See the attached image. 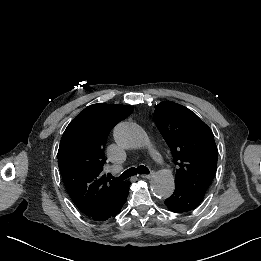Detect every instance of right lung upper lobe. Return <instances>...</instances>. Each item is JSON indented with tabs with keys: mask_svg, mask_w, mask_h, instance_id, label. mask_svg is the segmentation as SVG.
Returning <instances> with one entry per match:
<instances>
[{
	"mask_svg": "<svg viewBox=\"0 0 261 261\" xmlns=\"http://www.w3.org/2000/svg\"><path fill=\"white\" fill-rule=\"evenodd\" d=\"M132 112V106L93 104L80 112L63 133L58 150L60 173L72 201L86 216L114 201L129 184L109 181L102 171L111 129Z\"/></svg>",
	"mask_w": 261,
	"mask_h": 261,
	"instance_id": "right-lung-upper-lobe-1",
	"label": "right lung upper lobe"
}]
</instances>
